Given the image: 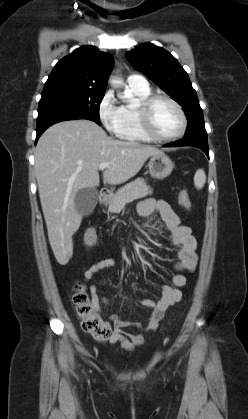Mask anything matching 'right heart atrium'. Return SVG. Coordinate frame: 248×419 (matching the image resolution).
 I'll list each match as a JSON object with an SVG mask.
<instances>
[{"label": "right heart atrium", "instance_id": "1", "mask_svg": "<svg viewBox=\"0 0 248 419\" xmlns=\"http://www.w3.org/2000/svg\"><path fill=\"white\" fill-rule=\"evenodd\" d=\"M98 116L105 129L119 136L123 125V108L117 102L113 91L108 90L102 96L98 105Z\"/></svg>", "mask_w": 248, "mask_h": 419}]
</instances>
